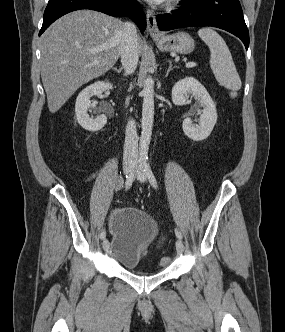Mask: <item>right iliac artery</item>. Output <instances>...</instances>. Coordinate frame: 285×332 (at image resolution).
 Wrapping results in <instances>:
<instances>
[{
    "mask_svg": "<svg viewBox=\"0 0 285 332\" xmlns=\"http://www.w3.org/2000/svg\"><path fill=\"white\" fill-rule=\"evenodd\" d=\"M142 165V162L139 160L135 169L133 171H131L128 175H126V181H125V188L128 189L131 187L134 179H135V175H136V172L138 170V168ZM106 237V231L103 230L101 233H100V238L103 240L104 238Z\"/></svg>",
    "mask_w": 285,
    "mask_h": 332,
    "instance_id": "right-iliac-artery-1",
    "label": "right iliac artery"
}]
</instances>
